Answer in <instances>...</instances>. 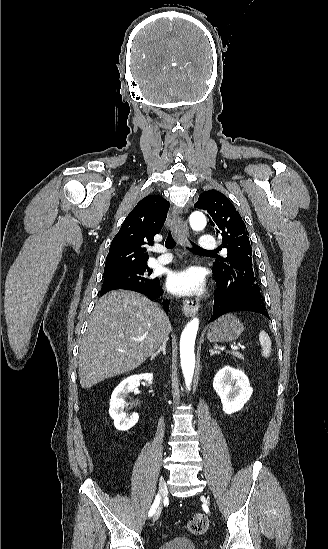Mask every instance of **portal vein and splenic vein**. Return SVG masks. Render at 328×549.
Segmentation results:
<instances>
[{
  "mask_svg": "<svg viewBox=\"0 0 328 549\" xmlns=\"http://www.w3.org/2000/svg\"><path fill=\"white\" fill-rule=\"evenodd\" d=\"M144 337H138V339H134V341H143ZM232 349H234V351H240V349H243V346H235V347H232Z\"/></svg>",
  "mask_w": 328,
  "mask_h": 549,
  "instance_id": "obj_1",
  "label": "portal vein and splenic vein"
}]
</instances>
